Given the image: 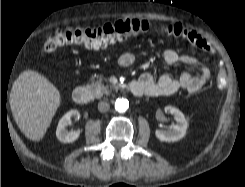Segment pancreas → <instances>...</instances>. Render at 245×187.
Listing matches in <instances>:
<instances>
[{
	"mask_svg": "<svg viewBox=\"0 0 245 187\" xmlns=\"http://www.w3.org/2000/svg\"><path fill=\"white\" fill-rule=\"evenodd\" d=\"M107 82V81H106ZM93 85L95 87H97L101 92L107 94L109 90L113 89L115 91H118L119 89V86L118 85H114V84H109L107 82V84L105 85L101 79L93 82Z\"/></svg>",
	"mask_w": 245,
	"mask_h": 187,
	"instance_id": "obj_1",
	"label": "pancreas"
}]
</instances>
